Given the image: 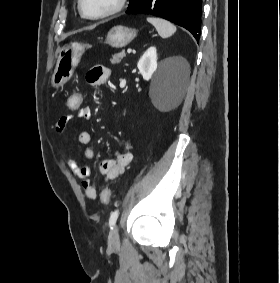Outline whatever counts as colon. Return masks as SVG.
Here are the masks:
<instances>
[{
    "label": "colon",
    "mask_w": 280,
    "mask_h": 283,
    "mask_svg": "<svg viewBox=\"0 0 280 283\" xmlns=\"http://www.w3.org/2000/svg\"><path fill=\"white\" fill-rule=\"evenodd\" d=\"M85 101L84 94L82 91H71L67 94V112H78V108H82L83 102ZM111 199V189L105 188L101 193V202L103 205L109 204Z\"/></svg>",
    "instance_id": "colon-1"
}]
</instances>
